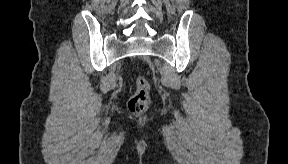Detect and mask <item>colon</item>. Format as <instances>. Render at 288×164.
I'll list each match as a JSON object with an SVG mask.
<instances>
[{"instance_id": "obj_1", "label": "colon", "mask_w": 288, "mask_h": 164, "mask_svg": "<svg viewBox=\"0 0 288 164\" xmlns=\"http://www.w3.org/2000/svg\"><path fill=\"white\" fill-rule=\"evenodd\" d=\"M135 87L133 95L127 101V107L130 113L141 115L146 111L150 102V86L146 78L137 76Z\"/></svg>"}]
</instances>
